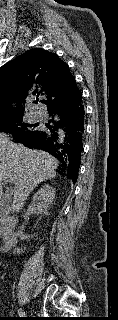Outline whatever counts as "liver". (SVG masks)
I'll return each instance as SVG.
<instances>
[{"mask_svg": "<svg viewBox=\"0 0 118 320\" xmlns=\"http://www.w3.org/2000/svg\"><path fill=\"white\" fill-rule=\"evenodd\" d=\"M58 160L49 153L32 150L14 143L10 137L0 133V179L14 183L13 202L6 205V212L22 209L30 192L41 182L54 178ZM0 180V200L2 184Z\"/></svg>", "mask_w": 118, "mask_h": 320, "instance_id": "6515ba94", "label": "liver"}]
</instances>
